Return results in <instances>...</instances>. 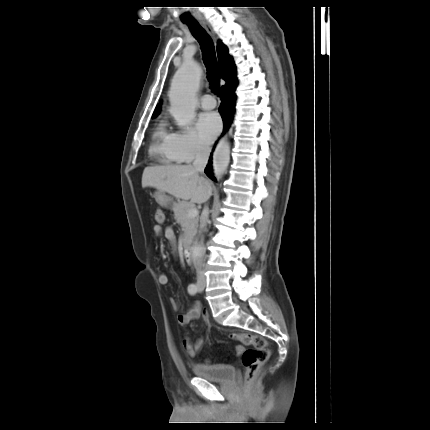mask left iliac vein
<instances>
[{
    "label": "left iliac vein",
    "mask_w": 430,
    "mask_h": 430,
    "mask_svg": "<svg viewBox=\"0 0 430 430\" xmlns=\"http://www.w3.org/2000/svg\"><path fill=\"white\" fill-rule=\"evenodd\" d=\"M205 288V280L204 279H200L198 281V291L202 292Z\"/></svg>",
    "instance_id": "left-iliac-vein-1"
}]
</instances>
